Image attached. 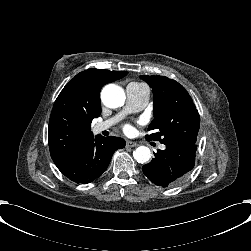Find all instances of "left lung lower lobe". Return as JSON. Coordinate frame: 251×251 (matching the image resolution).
Listing matches in <instances>:
<instances>
[{"instance_id": "0a47b994", "label": "left lung lower lobe", "mask_w": 251, "mask_h": 251, "mask_svg": "<svg viewBox=\"0 0 251 251\" xmlns=\"http://www.w3.org/2000/svg\"><path fill=\"white\" fill-rule=\"evenodd\" d=\"M196 144L166 145L155 158L143 166V173L154 184L162 187L181 182L195 165Z\"/></svg>"}]
</instances>
